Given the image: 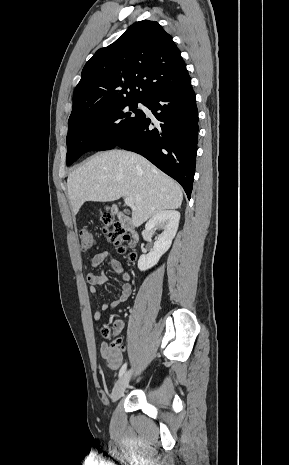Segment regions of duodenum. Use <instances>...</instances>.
<instances>
[{
	"label": "duodenum",
	"mask_w": 289,
	"mask_h": 465,
	"mask_svg": "<svg viewBox=\"0 0 289 465\" xmlns=\"http://www.w3.org/2000/svg\"><path fill=\"white\" fill-rule=\"evenodd\" d=\"M118 215H119V219H120L122 225L124 226V228L127 229L132 234V237L134 238V240H137L138 235L135 232V230H134V228H133V226L131 224L130 219L124 214L119 213Z\"/></svg>",
	"instance_id": "obj_1"
}]
</instances>
